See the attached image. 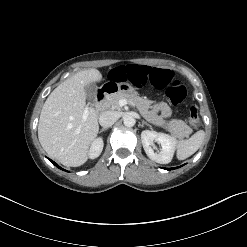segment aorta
<instances>
[{"label": "aorta", "instance_id": "obj_1", "mask_svg": "<svg viewBox=\"0 0 247 247\" xmlns=\"http://www.w3.org/2000/svg\"><path fill=\"white\" fill-rule=\"evenodd\" d=\"M123 123L126 127H133L135 125V119L132 116H127L124 118Z\"/></svg>", "mask_w": 247, "mask_h": 247}]
</instances>
